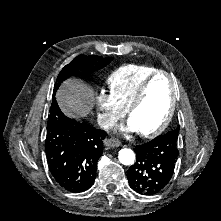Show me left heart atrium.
I'll return each instance as SVG.
<instances>
[{
	"mask_svg": "<svg viewBox=\"0 0 221 221\" xmlns=\"http://www.w3.org/2000/svg\"><path fill=\"white\" fill-rule=\"evenodd\" d=\"M130 129H136L132 124H130Z\"/></svg>",
	"mask_w": 221,
	"mask_h": 221,
	"instance_id": "obj_1",
	"label": "left heart atrium"
}]
</instances>
